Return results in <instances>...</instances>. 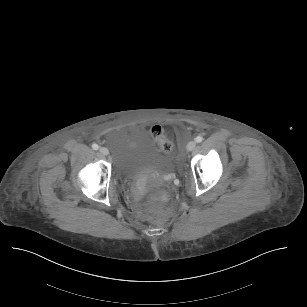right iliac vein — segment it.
Instances as JSON below:
<instances>
[{
    "label": "right iliac vein",
    "instance_id": "obj_1",
    "mask_svg": "<svg viewBox=\"0 0 307 307\" xmlns=\"http://www.w3.org/2000/svg\"><path fill=\"white\" fill-rule=\"evenodd\" d=\"M99 152L103 155V156H108L109 155V151L106 147H100Z\"/></svg>",
    "mask_w": 307,
    "mask_h": 307
}]
</instances>
